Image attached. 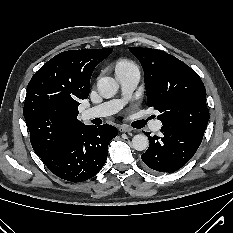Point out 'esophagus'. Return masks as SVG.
<instances>
[{"mask_svg":"<svg viewBox=\"0 0 233 233\" xmlns=\"http://www.w3.org/2000/svg\"><path fill=\"white\" fill-rule=\"evenodd\" d=\"M132 130L133 129L128 125H121L120 128H119V131L124 132V133L131 132Z\"/></svg>","mask_w":233,"mask_h":233,"instance_id":"esophagus-1","label":"esophagus"}]
</instances>
